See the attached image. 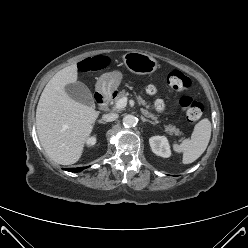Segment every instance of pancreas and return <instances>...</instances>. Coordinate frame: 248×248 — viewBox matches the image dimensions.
Masks as SVG:
<instances>
[{"instance_id":"cf45deb5","label":"pancreas","mask_w":248,"mask_h":248,"mask_svg":"<svg viewBox=\"0 0 248 248\" xmlns=\"http://www.w3.org/2000/svg\"><path fill=\"white\" fill-rule=\"evenodd\" d=\"M125 96H126V92L124 90H122L121 92H119L117 94V96L112 101V103L116 104L119 101V99H121V98H123ZM140 102H141L142 105L146 106L147 109H149V105H147L144 100L140 99ZM147 109H143L142 113L146 117L152 119L154 124H157L159 122L158 118L156 117L155 114L149 112ZM165 132L168 133L169 135H176V136L183 135V133L178 128H176L175 126H172V125H166L165 126Z\"/></svg>"}]
</instances>
